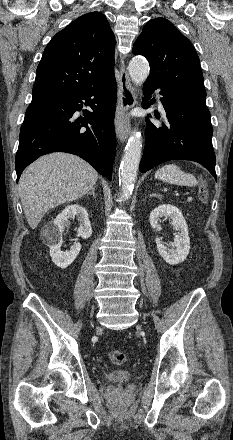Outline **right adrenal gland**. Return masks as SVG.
I'll use <instances>...</instances> for the list:
<instances>
[{
    "label": "right adrenal gland",
    "instance_id": "2a0ac1e0",
    "mask_svg": "<svg viewBox=\"0 0 233 440\" xmlns=\"http://www.w3.org/2000/svg\"><path fill=\"white\" fill-rule=\"evenodd\" d=\"M95 189H96V186H94V187L91 189V192H89L87 195H93V197L96 198Z\"/></svg>",
    "mask_w": 233,
    "mask_h": 440
}]
</instances>
